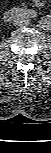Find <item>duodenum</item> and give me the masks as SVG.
Returning a JSON list of instances; mask_svg holds the SVG:
<instances>
[{
    "instance_id": "obj_1",
    "label": "duodenum",
    "mask_w": 51,
    "mask_h": 153,
    "mask_svg": "<svg viewBox=\"0 0 51 153\" xmlns=\"http://www.w3.org/2000/svg\"><path fill=\"white\" fill-rule=\"evenodd\" d=\"M34 15L35 11L32 9L12 8L4 13V19L9 21L15 17H33Z\"/></svg>"
}]
</instances>
